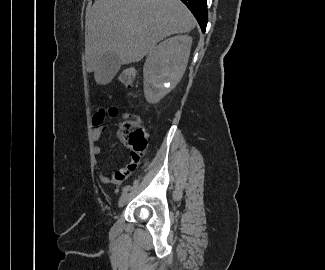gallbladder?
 Listing matches in <instances>:
<instances>
[{
    "label": "gallbladder",
    "mask_w": 325,
    "mask_h": 270,
    "mask_svg": "<svg viewBox=\"0 0 325 270\" xmlns=\"http://www.w3.org/2000/svg\"><path fill=\"white\" fill-rule=\"evenodd\" d=\"M100 64L101 69L98 72L109 79H112L121 67L118 57L113 53L104 54L100 59Z\"/></svg>",
    "instance_id": "bac80fb5"
}]
</instances>
